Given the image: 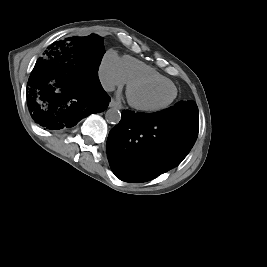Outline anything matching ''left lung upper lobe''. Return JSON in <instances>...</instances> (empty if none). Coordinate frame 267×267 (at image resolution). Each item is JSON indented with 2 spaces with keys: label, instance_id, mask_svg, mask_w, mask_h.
Returning <instances> with one entry per match:
<instances>
[{
  "label": "left lung upper lobe",
  "instance_id": "obj_1",
  "mask_svg": "<svg viewBox=\"0 0 267 267\" xmlns=\"http://www.w3.org/2000/svg\"><path fill=\"white\" fill-rule=\"evenodd\" d=\"M168 109H187L193 112H198V107L195 102L193 101H187V102H178L173 107H170Z\"/></svg>",
  "mask_w": 267,
  "mask_h": 267
}]
</instances>
